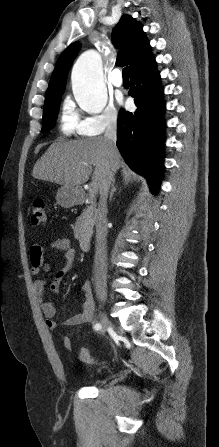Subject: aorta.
I'll use <instances>...</instances> for the list:
<instances>
[{"instance_id": "obj_1", "label": "aorta", "mask_w": 219, "mask_h": 447, "mask_svg": "<svg viewBox=\"0 0 219 447\" xmlns=\"http://www.w3.org/2000/svg\"><path fill=\"white\" fill-rule=\"evenodd\" d=\"M72 88L76 102L88 113L98 114L107 104V90L103 82L102 60L94 50L84 52L73 66Z\"/></svg>"}]
</instances>
